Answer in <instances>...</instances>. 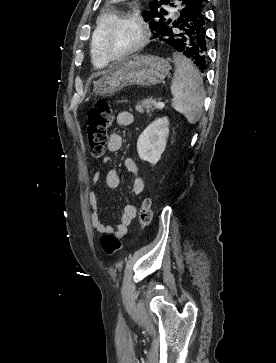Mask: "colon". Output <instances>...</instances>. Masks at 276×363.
I'll return each mask as SVG.
<instances>
[{
  "label": "colon",
  "mask_w": 276,
  "mask_h": 363,
  "mask_svg": "<svg viewBox=\"0 0 276 363\" xmlns=\"http://www.w3.org/2000/svg\"><path fill=\"white\" fill-rule=\"evenodd\" d=\"M113 120V110L108 102L98 101L90 108L87 116L88 144L91 155L101 158L105 154L107 131ZM153 218V211L149 199H145L139 208V219L144 229L148 228ZM101 244L103 250L111 254L121 247L120 240L110 234L102 237Z\"/></svg>",
  "instance_id": "obj_1"
}]
</instances>
